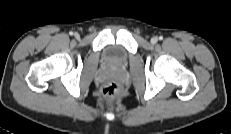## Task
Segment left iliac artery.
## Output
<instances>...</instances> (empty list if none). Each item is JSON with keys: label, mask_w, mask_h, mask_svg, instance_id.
Instances as JSON below:
<instances>
[{"label": "left iliac artery", "mask_w": 231, "mask_h": 134, "mask_svg": "<svg viewBox=\"0 0 231 134\" xmlns=\"http://www.w3.org/2000/svg\"><path fill=\"white\" fill-rule=\"evenodd\" d=\"M159 39H160V40H162V39H163V37H162V36H160V37H159Z\"/></svg>", "instance_id": "1"}]
</instances>
